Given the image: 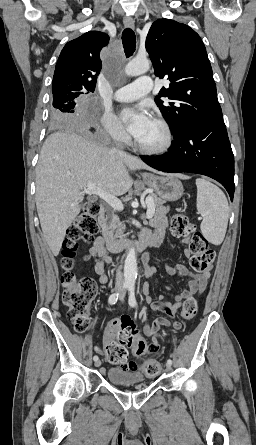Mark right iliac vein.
Here are the masks:
<instances>
[{"instance_id":"obj_1","label":"right iliac vein","mask_w":256,"mask_h":445,"mask_svg":"<svg viewBox=\"0 0 256 445\" xmlns=\"http://www.w3.org/2000/svg\"><path fill=\"white\" fill-rule=\"evenodd\" d=\"M95 366H96V367H100V366H101V360H99V359L96 360V361H95Z\"/></svg>"}]
</instances>
